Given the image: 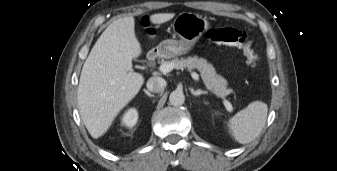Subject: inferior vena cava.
I'll return each instance as SVG.
<instances>
[{
	"mask_svg": "<svg viewBox=\"0 0 337 171\" xmlns=\"http://www.w3.org/2000/svg\"><path fill=\"white\" fill-rule=\"evenodd\" d=\"M147 89L154 93H159L164 90L166 81L161 77H151L147 81Z\"/></svg>",
	"mask_w": 337,
	"mask_h": 171,
	"instance_id": "1",
	"label": "inferior vena cava"
}]
</instances>
